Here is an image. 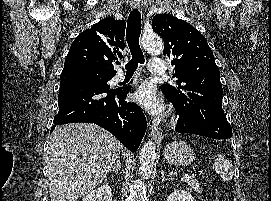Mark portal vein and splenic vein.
<instances>
[{
	"instance_id": "portal-vein-and-splenic-vein-1",
	"label": "portal vein and splenic vein",
	"mask_w": 271,
	"mask_h": 201,
	"mask_svg": "<svg viewBox=\"0 0 271 201\" xmlns=\"http://www.w3.org/2000/svg\"><path fill=\"white\" fill-rule=\"evenodd\" d=\"M194 178V176L192 175V176H190V175H184L182 178H181V180L182 181H189L190 179H193Z\"/></svg>"
}]
</instances>
